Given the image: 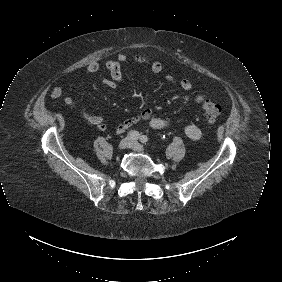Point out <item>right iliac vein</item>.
Instances as JSON below:
<instances>
[{
	"mask_svg": "<svg viewBox=\"0 0 282 282\" xmlns=\"http://www.w3.org/2000/svg\"><path fill=\"white\" fill-rule=\"evenodd\" d=\"M131 143H132V139L130 137H126L120 141L118 148L120 150L129 148L131 146Z\"/></svg>",
	"mask_w": 282,
	"mask_h": 282,
	"instance_id": "63e3f726",
	"label": "right iliac vein"
}]
</instances>
